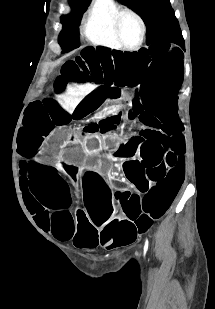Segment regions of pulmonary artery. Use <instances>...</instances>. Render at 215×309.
Listing matches in <instances>:
<instances>
[{
    "instance_id": "pulmonary-artery-1",
    "label": "pulmonary artery",
    "mask_w": 215,
    "mask_h": 309,
    "mask_svg": "<svg viewBox=\"0 0 215 309\" xmlns=\"http://www.w3.org/2000/svg\"><path fill=\"white\" fill-rule=\"evenodd\" d=\"M94 16H105V11H108V8H113V1L109 0H98L95 2Z\"/></svg>"
}]
</instances>
